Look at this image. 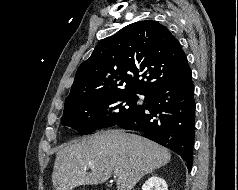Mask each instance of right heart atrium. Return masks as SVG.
Instances as JSON below:
<instances>
[{
  "label": "right heart atrium",
  "mask_w": 238,
  "mask_h": 190,
  "mask_svg": "<svg viewBox=\"0 0 238 190\" xmlns=\"http://www.w3.org/2000/svg\"><path fill=\"white\" fill-rule=\"evenodd\" d=\"M107 115H108V114L105 113V112H103V113L100 114L101 117H106Z\"/></svg>",
  "instance_id": "1"
}]
</instances>
